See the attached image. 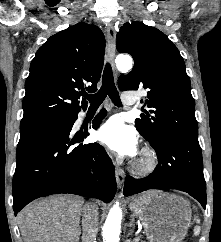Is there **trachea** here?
I'll list each match as a JSON object with an SVG mask.
<instances>
[{"mask_svg": "<svg viewBox=\"0 0 221 242\" xmlns=\"http://www.w3.org/2000/svg\"><path fill=\"white\" fill-rule=\"evenodd\" d=\"M107 95L117 107L122 106L119 93L114 83L112 68L109 63L105 65L100 90L95 94L85 95V98L89 100L91 106H100Z\"/></svg>", "mask_w": 221, "mask_h": 242, "instance_id": "1", "label": "trachea"}]
</instances>
